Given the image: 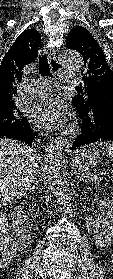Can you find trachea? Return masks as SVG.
I'll list each match as a JSON object with an SVG mask.
<instances>
[{"instance_id":"3493384b","label":"trachea","mask_w":113,"mask_h":279,"mask_svg":"<svg viewBox=\"0 0 113 279\" xmlns=\"http://www.w3.org/2000/svg\"><path fill=\"white\" fill-rule=\"evenodd\" d=\"M39 73L41 76L53 77L49 69V64H48L46 54L39 55Z\"/></svg>"}]
</instances>
